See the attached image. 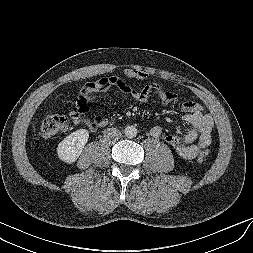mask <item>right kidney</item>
Masks as SVG:
<instances>
[{
    "label": "right kidney",
    "instance_id": "right-kidney-1",
    "mask_svg": "<svg viewBox=\"0 0 253 253\" xmlns=\"http://www.w3.org/2000/svg\"><path fill=\"white\" fill-rule=\"evenodd\" d=\"M89 138L86 129H79L64 138L57 147L58 158L65 163H74L80 156Z\"/></svg>",
    "mask_w": 253,
    "mask_h": 253
}]
</instances>
